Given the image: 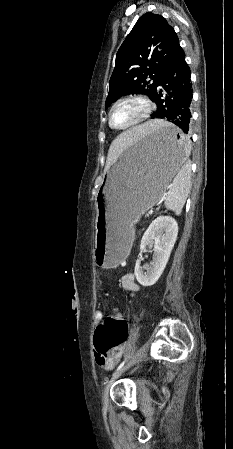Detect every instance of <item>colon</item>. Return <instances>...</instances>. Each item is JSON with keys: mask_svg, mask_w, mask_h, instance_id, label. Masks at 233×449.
Masks as SVG:
<instances>
[{"mask_svg": "<svg viewBox=\"0 0 233 449\" xmlns=\"http://www.w3.org/2000/svg\"><path fill=\"white\" fill-rule=\"evenodd\" d=\"M128 337V324L115 307L94 334L95 353L107 354L121 347Z\"/></svg>", "mask_w": 233, "mask_h": 449, "instance_id": "1", "label": "colon"}]
</instances>
